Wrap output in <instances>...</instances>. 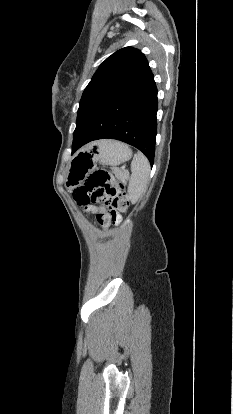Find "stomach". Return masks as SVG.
<instances>
[{
	"instance_id": "0dacf381",
	"label": "stomach",
	"mask_w": 233,
	"mask_h": 414,
	"mask_svg": "<svg viewBox=\"0 0 233 414\" xmlns=\"http://www.w3.org/2000/svg\"><path fill=\"white\" fill-rule=\"evenodd\" d=\"M131 156V149L124 143L113 140L96 142L88 149L73 155L68 168L66 187L72 189L80 185L96 168L98 162L115 167L128 161Z\"/></svg>"
}]
</instances>
